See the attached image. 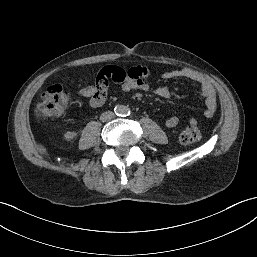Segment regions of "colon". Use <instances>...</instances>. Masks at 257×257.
Instances as JSON below:
<instances>
[{"label": "colon", "mask_w": 257, "mask_h": 257, "mask_svg": "<svg viewBox=\"0 0 257 257\" xmlns=\"http://www.w3.org/2000/svg\"><path fill=\"white\" fill-rule=\"evenodd\" d=\"M96 86L103 90L108 86V80L103 76H97ZM70 100L69 92L60 84L50 86L41 96L35 106V113L41 119H53L61 116ZM201 137V131L198 126H189L179 135L181 144L189 145L197 142Z\"/></svg>", "instance_id": "colon-1"}]
</instances>
